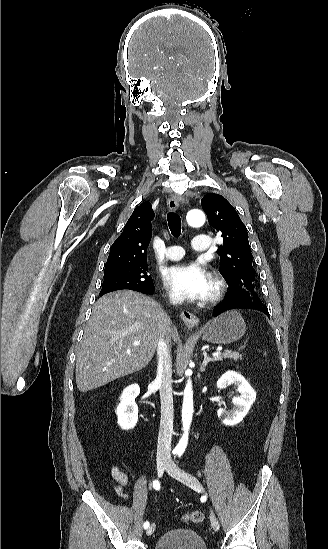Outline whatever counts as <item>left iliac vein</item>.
<instances>
[{
	"label": "left iliac vein",
	"instance_id": "left-iliac-vein-1",
	"mask_svg": "<svg viewBox=\"0 0 328 549\" xmlns=\"http://www.w3.org/2000/svg\"><path fill=\"white\" fill-rule=\"evenodd\" d=\"M165 469L175 479L183 482L184 484L194 489L195 491L204 492V488L201 485V483L197 480V478L178 468L170 459L167 461ZM211 525L215 531L219 530V522L213 510H211Z\"/></svg>",
	"mask_w": 328,
	"mask_h": 549
}]
</instances>
